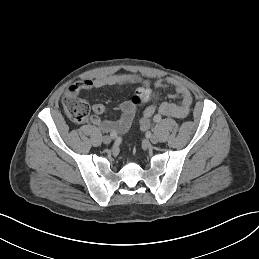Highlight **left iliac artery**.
<instances>
[{
  "label": "left iliac artery",
  "mask_w": 259,
  "mask_h": 259,
  "mask_svg": "<svg viewBox=\"0 0 259 259\" xmlns=\"http://www.w3.org/2000/svg\"><path fill=\"white\" fill-rule=\"evenodd\" d=\"M162 119V116L160 114H156L154 117H153V121L154 122H160Z\"/></svg>",
  "instance_id": "obj_1"
}]
</instances>
